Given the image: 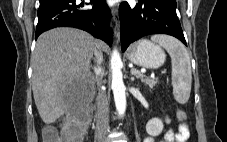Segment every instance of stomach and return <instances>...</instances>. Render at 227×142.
<instances>
[{"label": "stomach", "mask_w": 227, "mask_h": 142, "mask_svg": "<svg viewBox=\"0 0 227 142\" xmlns=\"http://www.w3.org/2000/svg\"><path fill=\"white\" fill-rule=\"evenodd\" d=\"M127 56L130 62L149 69L161 67L166 59L162 48L146 39L133 44Z\"/></svg>", "instance_id": "0dacf381"}]
</instances>
